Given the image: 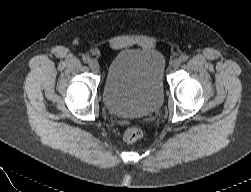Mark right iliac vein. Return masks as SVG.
<instances>
[{"label": "right iliac vein", "instance_id": "63e3f726", "mask_svg": "<svg viewBox=\"0 0 251 192\" xmlns=\"http://www.w3.org/2000/svg\"><path fill=\"white\" fill-rule=\"evenodd\" d=\"M88 64H89V67H90L93 71L99 72L100 67H99L98 62H97L95 59H90V61L88 62Z\"/></svg>", "mask_w": 251, "mask_h": 192}]
</instances>
